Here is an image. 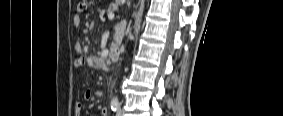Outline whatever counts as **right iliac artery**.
Instances as JSON below:
<instances>
[{
  "instance_id": "1",
  "label": "right iliac artery",
  "mask_w": 283,
  "mask_h": 116,
  "mask_svg": "<svg viewBox=\"0 0 283 116\" xmlns=\"http://www.w3.org/2000/svg\"><path fill=\"white\" fill-rule=\"evenodd\" d=\"M111 109L113 111H117V109H118V102H111Z\"/></svg>"
}]
</instances>
